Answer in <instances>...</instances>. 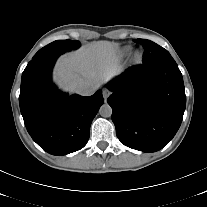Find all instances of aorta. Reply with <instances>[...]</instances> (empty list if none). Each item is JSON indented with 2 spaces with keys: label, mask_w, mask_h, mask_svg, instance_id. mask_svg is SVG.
Returning <instances> with one entry per match:
<instances>
[{
  "label": "aorta",
  "mask_w": 207,
  "mask_h": 207,
  "mask_svg": "<svg viewBox=\"0 0 207 207\" xmlns=\"http://www.w3.org/2000/svg\"><path fill=\"white\" fill-rule=\"evenodd\" d=\"M99 114L102 117H110L112 115V108L109 104H103L99 109Z\"/></svg>",
  "instance_id": "1"
}]
</instances>
